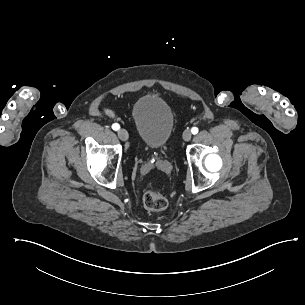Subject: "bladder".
I'll return each instance as SVG.
<instances>
[{"label": "bladder", "mask_w": 305, "mask_h": 305, "mask_svg": "<svg viewBox=\"0 0 305 305\" xmlns=\"http://www.w3.org/2000/svg\"><path fill=\"white\" fill-rule=\"evenodd\" d=\"M131 119L141 141L147 146L164 149L175 126L173 106L162 96L145 93L131 107Z\"/></svg>", "instance_id": "1"}]
</instances>
